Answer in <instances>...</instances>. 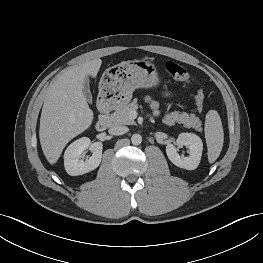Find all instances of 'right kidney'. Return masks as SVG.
Returning a JSON list of instances; mask_svg holds the SVG:
<instances>
[{"label":"right kidney","instance_id":"1","mask_svg":"<svg viewBox=\"0 0 263 263\" xmlns=\"http://www.w3.org/2000/svg\"><path fill=\"white\" fill-rule=\"evenodd\" d=\"M90 149L93 154L89 159L81 160L84 150ZM103 145L101 142L91 143L87 137L71 143L64 153V166L71 176H78L96 169L101 163Z\"/></svg>","mask_w":263,"mask_h":263}]
</instances>
